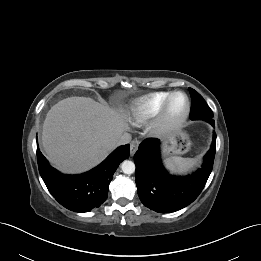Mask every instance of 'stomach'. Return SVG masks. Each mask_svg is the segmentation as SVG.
<instances>
[{"mask_svg": "<svg viewBox=\"0 0 261 261\" xmlns=\"http://www.w3.org/2000/svg\"><path fill=\"white\" fill-rule=\"evenodd\" d=\"M190 144V139L185 132H173L164 140L162 154L169 157L185 154L189 150Z\"/></svg>", "mask_w": 261, "mask_h": 261, "instance_id": "obj_1", "label": "stomach"}]
</instances>
